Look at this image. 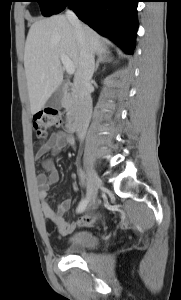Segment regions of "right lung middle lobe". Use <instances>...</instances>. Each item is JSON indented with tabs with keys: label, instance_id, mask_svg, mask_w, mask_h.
Listing matches in <instances>:
<instances>
[{
	"label": "right lung middle lobe",
	"instance_id": "1",
	"mask_svg": "<svg viewBox=\"0 0 181 300\" xmlns=\"http://www.w3.org/2000/svg\"><path fill=\"white\" fill-rule=\"evenodd\" d=\"M39 3L43 16L56 14L58 10L65 5L67 0H29Z\"/></svg>",
	"mask_w": 181,
	"mask_h": 300
}]
</instances>
